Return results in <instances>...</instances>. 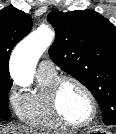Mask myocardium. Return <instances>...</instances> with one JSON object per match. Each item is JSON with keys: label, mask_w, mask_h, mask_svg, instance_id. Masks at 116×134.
<instances>
[{"label": "myocardium", "mask_w": 116, "mask_h": 134, "mask_svg": "<svg viewBox=\"0 0 116 134\" xmlns=\"http://www.w3.org/2000/svg\"><path fill=\"white\" fill-rule=\"evenodd\" d=\"M66 83H73L77 85L79 88H81L85 92V94L88 96L90 100L92 111H91L89 118L85 120L84 122H80V123L72 122L68 120L61 112L60 105H59V96H60L62 87ZM48 95H49V102H50L52 113L62 125L69 127V128H84V127L91 125L95 121L97 114H98L97 100L94 94L92 93V91L77 78H74L72 76L57 77L51 84Z\"/></svg>", "instance_id": "f54148a6"}]
</instances>
